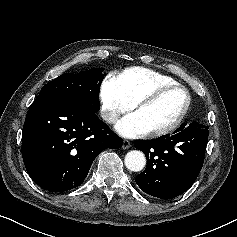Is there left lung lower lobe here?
<instances>
[{
  "instance_id": "0a47b994",
  "label": "left lung lower lobe",
  "mask_w": 237,
  "mask_h": 237,
  "mask_svg": "<svg viewBox=\"0 0 237 237\" xmlns=\"http://www.w3.org/2000/svg\"><path fill=\"white\" fill-rule=\"evenodd\" d=\"M208 126L183 123L173 134L137 140L135 148L147 157L146 169L135 181L142 191L161 199L177 197L198 177L208 142Z\"/></svg>"
}]
</instances>
